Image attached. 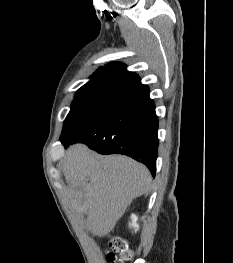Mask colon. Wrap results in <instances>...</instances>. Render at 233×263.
I'll return each mask as SVG.
<instances>
[{
    "label": "colon",
    "instance_id": "1",
    "mask_svg": "<svg viewBox=\"0 0 233 263\" xmlns=\"http://www.w3.org/2000/svg\"><path fill=\"white\" fill-rule=\"evenodd\" d=\"M108 247V263H126L133 257V251L128 248L125 240L120 237L112 238Z\"/></svg>",
    "mask_w": 233,
    "mask_h": 263
}]
</instances>
